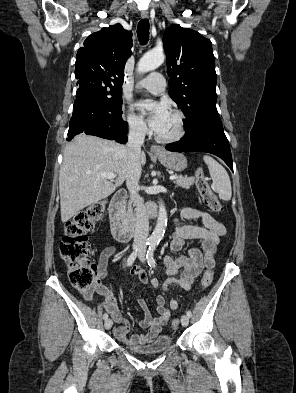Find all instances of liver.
I'll return each instance as SVG.
<instances>
[{
	"label": "liver",
	"mask_w": 296,
	"mask_h": 393,
	"mask_svg": "<svg viewBox=\"0 0 296 393\" xmlns=\"http://www.w3.org/2000/svg\"><path fill=\"white\" fill-rule=\"evenodd\" d=\"M123 146L84 133L66 145L59 173L61 220H70L85 207L110 196L127 177ZM140 165L146 155L140 153ZM101 173H114V183L100 177Z\"/></svg>",
	"instance_id": "6515ba94"
}]
</instances>
